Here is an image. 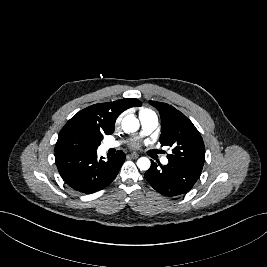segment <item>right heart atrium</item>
Segmentation results:
<instances>
[{
	"label": "right heart atrium",
	"mask_w": 267,
	"mask_h": 267,
	"mask_svg": "<svg viewBox=\"0 0 267 267\" xmlns=\"http://www.w3.org/2000/svg\"><path fill=\"white\" fill-rule=\"evenodd\" d=\"M119 121H120V118H118L117 122H119Z\"/></svg>",
	"instance_id": "1"
}]
</instances>
